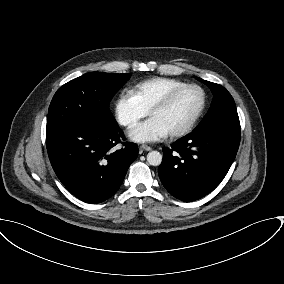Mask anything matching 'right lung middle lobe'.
<instances>
[{"instance_id":"1","label":"right lung middle lobe","mask_w":284,"mask_h":284,"mask_svg":"<svg viewBox=\"0 0 284 284\" xmlns=\"http://www.w3.org/2000/svg\"><path fill=\"white\" fill-rule=\"evenodd\" d=\"M129 78L128 73L90 72L64 84L51 101L46 135L68 126L114 128L109 102Z\"/></svg>"}]
</instances>
